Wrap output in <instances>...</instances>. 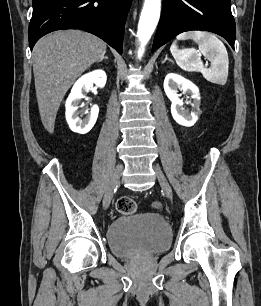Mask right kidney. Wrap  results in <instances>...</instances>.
<instances>
[{
  "label": "right kidney",
  "mask_w": 261,
  "mask_h": 306,
  "mask_svg": "<svg viewBox=\"0 0 261 306\" xmlns=\"http://www.w3.org/2000/svg\"><path fill=\"white\" fill-rule=\"evenodd\" d=\"M107 76L103 70H95L88 74L83 75L73 85L70 95L66 100V120L70 129L79 134L88 133L96 123L98 118L99 108L97 105L93 106L90 110V114L85 119L78 117V104L84 97V93L95 84L96 86L103 88L106 84Z\"/></svg>",
  "instance_id": "right-kidney-1"
}]
</instances>
